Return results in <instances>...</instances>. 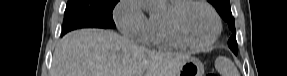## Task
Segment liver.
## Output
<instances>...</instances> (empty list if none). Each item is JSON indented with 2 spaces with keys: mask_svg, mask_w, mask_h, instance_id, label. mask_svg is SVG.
<instances>
[{
  "mask_svg": "<svg viewBox=\"0 0 287 76\" xmlns=\"http://www.w3.org/2000/svg\"><path fill=\"white\" fill-rule=\"evenodd\" d=\"M189 57L138 46L110 30L81 29L58 42L51 76H177Z\"/></svg>",
  "mask_w": 287,
  "mask_h": 76,
  "instance_id": "6515ba94",
  "label": "liver"
}]
</instances>
